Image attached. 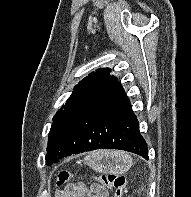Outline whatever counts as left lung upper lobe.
Listing matches in <instances>:
<instances>
[{"instance_id": "left-lung-upper-lobe-1", "label": "left lung upper lobe", "mask_w": 191, "mask_h": 197, "mask_svg": "<svg viewBox=\"0 0 191 197\" xmlns=\"http://www.w3.org/2000/svg\"><path fill=\"white\" fill-rule=\"evenodd\" d=\"M110 68L98 69L89 74L74 87V91L64 106L58 110L53 118L49 132L46 154L47 165L71 155L73 147L68 143L65 127L73 119L78 107L90 97H99L120 83L110 75Z\"/></svg>"}]
</instances>
